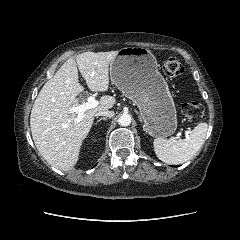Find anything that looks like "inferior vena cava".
<instances>
[{"label": "inferior vena cava", "mask_w": 240, "mask_h": 240, "mask_svg": "<svg viewBox=\"0 0 240 240\" xmlns=\"http://www.w3.org/2000/svg\"><path fill=\"white\" fill-rule=\"evenodd\" d=\"M95 116H106L108 118H112L114 116V112L113 111H98Z\"/></svg>", "instance_id": "1"}]
</instances>
